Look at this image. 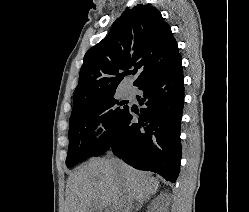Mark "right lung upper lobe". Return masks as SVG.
I'll list each match as a JSON object with an SVG mask.
<instances>
[{"mask_svg": "<svg viewBox=\"0 0 249 212\" xmlns=\"http://www.w3.org/2000/svg\"><path fill=\"white\" fill-rule=\"evenodd\" d=\"M178 54L170 26L157 8L139 4L127 9L110 33L86 52L73 109L114 95L130 69L137 73L134 86H140Z\"/></svg>", "mask_w": 249, "mask_h": 212, "instance_id": "cb5924a9", "label": "right lung upper lobe"}]
</instances>
